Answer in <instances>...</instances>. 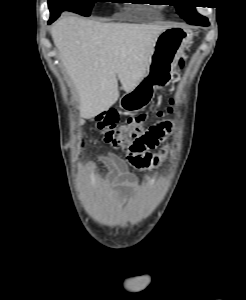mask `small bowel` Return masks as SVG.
<instances>
[{
  "instance_id": "small-bowel-1",
  "label": "small bowel",
  "mask_w": 246,
  "mask_h": 300,
  "mask_svg": "<svg viewBox=\"0 0 246 300\" xmlns=\"http://www.w3.org/2000/svg\"><path fill=\"white\" fill-rule=\"evenodd\" d=\"M101 158L109 167L106 180L112 181V185L115 188L118 197L121 199L126 197L127 190L132 189L135 186L134 177L126 172V163L137 168L150 166V164L147 165V163L142 162L143 156L141 154L131 151H128L125 159L112 154H104Z\"/></svg>"
}]
</instances>
